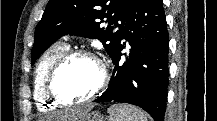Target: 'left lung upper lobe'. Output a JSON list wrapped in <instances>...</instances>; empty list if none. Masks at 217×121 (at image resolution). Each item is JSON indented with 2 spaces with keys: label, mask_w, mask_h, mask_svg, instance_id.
Returning <instances> with one entry per match:
<instances>
[{
  "label": "left lung upper lobe",
  "mask_w": 217,
  "mask_h": 121,
  "mask_svg": "<svg viewBox=\"0 0 217 121\" xmlns=\"http://www.w3.org/2000/svg\"><path fill=\"white\" fill-rule=\"evenodd\" d=\"M135 0H49L36 26L31 64L66 34L99 39L112 57ZM121 21V24L118 22ZM107 22L108 25H103Z\"/></svg>",
  "instance_id": "left-lung-upper-lobe-1"
}]
</instances>
